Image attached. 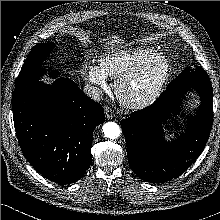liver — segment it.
Returning <instances> with one entry per match:
<instances>
[{
  "label": "liver",
  "instance_id": "1",
  "mask_svg": "<svg viewBox=\"0 0 220 220\" xmlns=\"http://www.w3.org/2000/svg\"><path fill=\"white\" fill-rule=\"evenodd\" d=\"M122 42H123L122 39H120V38L117 37V36H113V37H112V40H111V41H108L107 43H108V44H111V45H113L114 43H117V44L121 45ZM47 81H48V79L45 78V79H44V82H47Z\"/></svg>",
  "mask_w": 220,
  "mask_h": 220
}]
</instances>
